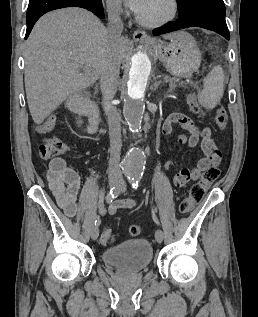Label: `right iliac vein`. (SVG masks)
I'll list each match as a JSON object with an SVG mask.
<instances>
[{"label": "right iliac vein", "instance_id": "right-iliac-vein-1", "mask_svg": "<svg viewBox=\"0 0 258 317\" xmlns=\"http://www.w3.org/2000/svg\"><path fill=\"white\" fill-rule=\"evenodd\" d=\"M121 184V181L120 179H110L109 181V185L110 187H114V186H120ZM91 236H92V239H97V237L99 236V227H94L91 229Z\"/></svg>", "mask_w": 258, "mask_h": 317}]
</instances>
